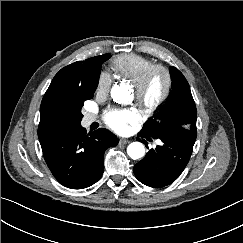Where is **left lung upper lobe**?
Returning <instances> with one entry per match:
<instances>
[{"label":"left lung upper lobe","mask_w":243,"mask_h":243,"mask_svg":"<svg viewBox=\"0 0 243 243\" xmlns=\"http://www.w3.org/2000/svg\"><path fill=\"white\" fill-rule=\"evenodd\" d=\"M172 90L166 105L143 127L141 133L152 138L169 135L194 145L196 131V106L189 84L183 74L171 68Z\"/></svg>","instance_id":"1"}]
</instances>
